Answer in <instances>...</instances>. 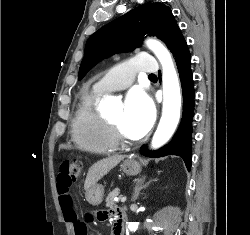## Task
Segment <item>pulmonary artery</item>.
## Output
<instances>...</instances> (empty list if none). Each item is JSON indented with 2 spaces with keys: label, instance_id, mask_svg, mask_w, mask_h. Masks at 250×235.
Here are the masks:
<instances>
[{
  "label": "pulmonary artery",
  "instance_id": "1",
  "mask_svg": "<svg viewBox=\"0 0 250 235\" xmlns=\"http://www.w3.org/2000/svg\"><path fill=\"white\" fill-rule=\"evenodd\" d=\"M135 70L148 74L158 72L156 58L149 52H141L135 58L108 72L95 83L94 87L105 93L125 89L132 83V72Z\"/></svg>",
  "mask_w": 250,
  "mask_h": 235
}]
</instances>
